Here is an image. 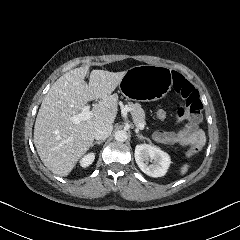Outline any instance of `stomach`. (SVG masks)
I'll list each match as a JSON object with an SVG mask.
<instances>
[{"label": "stomach", "mask_w": 240, "mask_h": 240, "mask_svg": "<svg viewBox=\"0 0 240 240\" xmlns=\"http://www.w3.org/2000/svg\"><path fill=\"white\" fill-rule=\"evenodd\" d=\"M170 88L169 70L154 65L128 69L119 84V91L127 100L139 102L160 100L166 96Z\"/></svg>", "instance_id": "1"}]
</instances>
